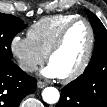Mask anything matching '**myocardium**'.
<instances>
[{
	"mask_svg": "<svg viewBox=\"0 0 107 107\" xmlns=\"http://www.w3.org/2000/svg\"><path fill=\"white\" fill-rule=\"evenodd\" d=\"M77 23H84L87 26L88 31H89V43H88L86 54H85L81 64L79 65V67L71 74H69L67 76L59 77L63 83H70V82L78 79L81 75H83V73L86 71L87 67L90 64V61H91V58H92V55L94 52L95 32H94L92 24L85 18H76V19L70 21L68 24H66L63 27V29L60 31L57 39L55 40L54 44L51 46V48L49 49V51L46 55L47 61L50 62V59L52 58V56L60 50V48L64 44L65 38H66L69 30Z\"/></svg>",
	"mask_w": 107,
	"mask_h": 107,
	"instance_id": "1",
	"label": "myocardium"
}]
</instances>
